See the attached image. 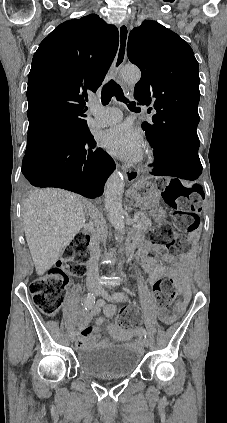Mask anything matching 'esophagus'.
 Returning a JSON list of instances; mask_svg holds the SVG:
<instances>
[{"label":"esophagus","instance_id":"esophagus-1","mask_svg":"<svg viewBox=\"0 0 227 423\" xmlns=\"http://www.w3.org/2000/svg\"><path fill=\"white\" fill-rule=\"evenodd\" d=\"M119 46L116 54V58L113 63V72L116 75L121 68V66L125 63L126 55H127V42L129 37V28L127 24L122 23L119 25ZM124 177L128 182L135 181L139 174L129 169H123Z\"/></svg>","mask_w":227,"mask_h":423}]
</instances>
